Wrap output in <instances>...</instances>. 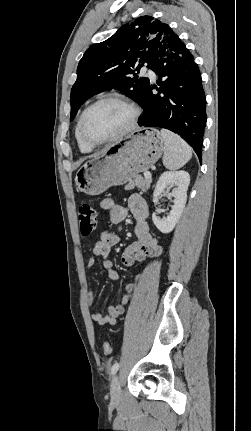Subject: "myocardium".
<instances>
[{
    "instance_id": "myocardium-1",
    "label": "myocardium",
    "mask_w": 251,
    "mask_h": 431,
    "mask_svg": "<svg viewBox=\"0 0 251 431\" xmlns=\"http://www.w3.org/2000/svg\"><path fill=\"white\" fill-rule=\"evenodd\" d=\"M105 102H117L120 103L124 106H126L127 108H129L130 112H131V117L130 120L127 124V126L120 131L119 133L100 140V141H94L92 139H90L87 134H86V130H85V123H86V119L88 117V115L90 114V112L97 107L98 105L105 103ZM140 116V110L139 107L136 105V103H134L132 100L118 95V94H108V95H104L102 97H100L99 99H97L96 101H94L93 103H91L82 113L81 118H80V124H79V130H80V136L82 138V140L89 146L91 147H97V146H101L104 144H108L114 141H117L123 137H125L126 135H128L130 132L133 131V129L135 128L138 118Z\"/></svg>"
}]
</instances>
